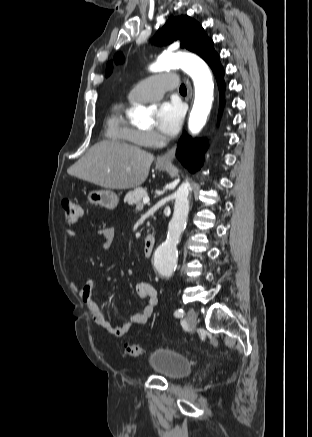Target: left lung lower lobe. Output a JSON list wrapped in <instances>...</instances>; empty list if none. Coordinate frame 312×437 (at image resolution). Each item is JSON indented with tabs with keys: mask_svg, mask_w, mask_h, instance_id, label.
I'll return each mask as SVG.
<instances>
[{
	"mask_svg": "<svg viewBox=\"0 0 312 437\" xmlns=\"http://www.w3.org/2000/svg\"><path fill=\"white\" fill-rule=\"evenodd\" d=\"M207 63L212 68L219 86L220 92L224 90L225 84L223 81L224 70L220 64L219 56L217 53L212 55ZM220 101H223L222 95ZM220 113L222 107H220ZM205 151V142L202 140H192L187 134H184L180 139L176 156L181 163L187 167L191 172H195L199 169L203 162V153Z\"/></svg>",
	"mask_w": 312,
	"mask_h": 437,
	"instance_id": "obj_1",
	"label": "left lung lower lobe"
}]
</instances>
